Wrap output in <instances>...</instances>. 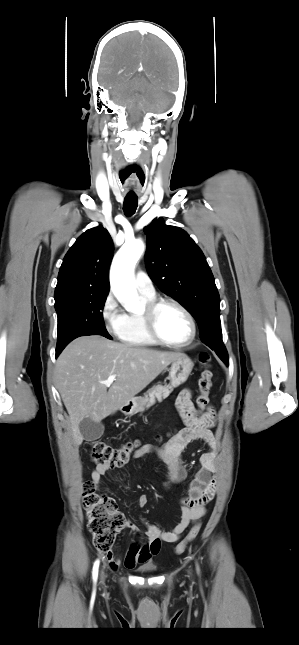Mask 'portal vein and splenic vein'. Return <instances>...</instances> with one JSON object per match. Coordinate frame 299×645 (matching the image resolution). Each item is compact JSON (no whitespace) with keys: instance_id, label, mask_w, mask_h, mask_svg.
<instances>
[{"instance_id":"portal-vein-and-splenic-vein-1","label":"portal vein and splenic vein","mask_w":299,"mask_h":645,"mask_svg":"<svg viewBox=\"0 0 299 645\" xmlns=\"http://www.w3.org/2000/svg\"><path fill=\"white\" fill-rule=\"evenodd\" d=\"M116 379V375H111L107 378V380L103 381L102 383L105 384L106 386H110Z\"/></svg>"}]
</instances>
